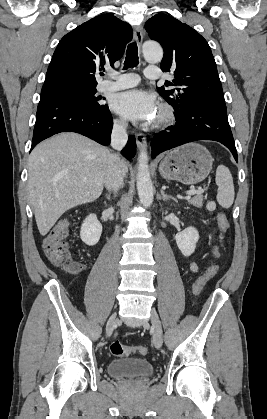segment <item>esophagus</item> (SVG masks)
<instances>
[{
  "instance_id": "34e87169",
  "label": "esophagus",
  "mask_w": 267,
  "mask_h": 419,
  "mask_svg": "<svg viewBox=\"0 0 267 419\" xmlns=\"http://www.w3.org/2000/svg\"><path fill=\"white\" fill-rule=\"evenodd\" d=\"M134 38L137 43V45L140 47L143 42V29L141 26H136L134 28ZM136 143L140 150L145 148L146 145V137L142 133L136 134Z\"/></svg>"
}]
</instances>
